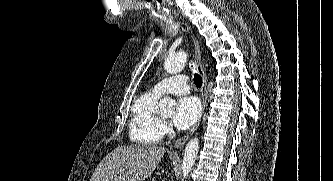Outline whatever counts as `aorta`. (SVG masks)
Instances as JSON below:
<instances>
[{"instance_id":"1","label":"aorta","mask_w":333,"mask_h":181,"mask_svg":"<svg viewBox=\"0 0 333 181\" xmlns=\"http://www.w3.org/2000/svg\"><path fill=\"white\" fill-rule=\"evenodd\" d=\"M187 61V54L185 52H179L173 56H169L164 62V68L169 74H177L183 70ZM175 105V101L171 97H163L160 100V109L162 111H170ZM199 151V141L197 138L191 139L186 147L182 163L183 177L186 178L191 172L197 154Z\"/></svg>"}]
</instances>
